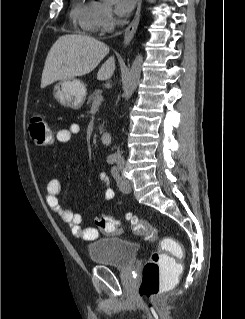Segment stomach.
I'll use <instances>...</instances> for the list:
<instances>
[{
  "mask_svg": "<svg viewBox=\"0 0 245 319\" xmlns=\"http://www.w3.org/2000/svg\"><path fill=\"white\" fill-rule=\"evenodd\" d=\"M86 95V87L79 79L62 80L53 87L54 99L72 109H79Z\"/></svg>",
  "mask_w": 245,
  "mask_h": 319,
  "instance_id": "0dacf381",
  "label": "stomach"
}]
</instances>
